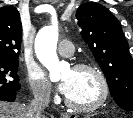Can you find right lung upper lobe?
I'll list each match as a JSON object with an SVG mask.
<instances>
[{"instance_id": "obj_1", "label": "right lung upper lobe", "mask_w": 133, "mask_h": 118, "mask_svg": "<svg viewBox=\"0 0 133 118\" xmlns=\"http://www.w3.org/2000/svg\"><path fill=\"white\" fill-rule=\"evenodd\" d=\"M22 26L18 10L13 6L0 8V59L18 61Z\"/></svg>"}]
</instances>
